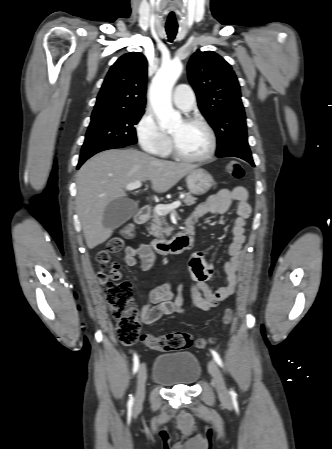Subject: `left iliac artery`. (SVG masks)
I'll return each mask as SVG.
<instances>
[{
    "label": "left iliac artery",
    "instance_id": "44dca946",
    "mask_svg": "<svg viewBox=\"0 0 332 449\" xmlns=\"http://www.w3.org/2000/svg\"><path fill=\"white\" fill-rule=\"evenodd\" d=\"M211 353H212L213 358H214V360L216 361V363H217L219 366L223 367V363H222V360H221L219 354H218L216 351H214V350H211ZM230 394H231L232 397H235V396H236L235 391L232 390V389H231V391H230Z\"/></svg>",
    "mask_w": 332,
    "mask_h": 449
}]
</instances>
